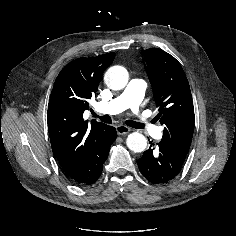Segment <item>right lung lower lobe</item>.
<instances>
[{"label": "right lung lower lobe", "instance_id": "98d812e1", "mask_svg": "<svg viewBox=\"0 0 236 236\" xmlns=\"http://www.w3.org/2000/svg\"><path fill=\"white\" fill-rule=\"evenodd\" d=\"M116 136V129L106 125L96 136L82 164L75 172L68 175L69 178L78 185L93 184L102 173L103 163Z\"/></svg>", "mask_w": 236, "mask_h": 236}]
</instances>
